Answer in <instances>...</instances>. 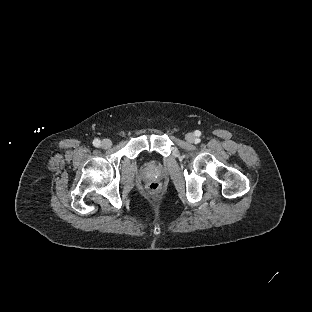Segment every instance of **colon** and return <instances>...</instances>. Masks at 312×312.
I'll return each mask as SVG.
<instances>
[{
	"label": "colon",
	"instance_id": "5ec220e1",
	"mask_svg": "<svg viewBox=\"0 0 312 312\" xmlns=\"http://www.w3.org/2000/svg\"><path fill=\"white\" fill-rule=\"evenodd\" d=\"M148 192L151 196H157L160 193L159 183L157 181H152L148 186Z\"/></svg>",
	"mask_w": 312,
	"mask_h": 312
}]
</instances>
